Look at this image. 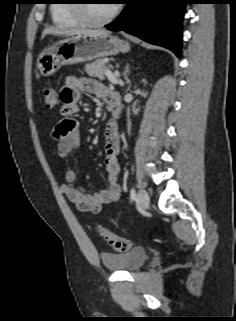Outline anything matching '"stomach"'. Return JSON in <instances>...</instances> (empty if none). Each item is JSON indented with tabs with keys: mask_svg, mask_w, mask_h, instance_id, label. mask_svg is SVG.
I'll list each match as a JSON object with an SVG mask.
<instances>
[{
	"mask_svg": "<svg viewBox=\"0 0 236 321\" xmlns=\"http://www.w3.org/2000/svg\"><path fill=\"white\" fill-rule=\"evenodd\" d=\"M129 50L128 42L112 35H71L44 49L38 56L37 69L42 76H50L64 65L88 62Z\"/></svg>",
	"mask_w": 236,
	"mask_h": 321,
	"instance_id": "obj_1",
	"label": "stomach"
}]
</instances>
